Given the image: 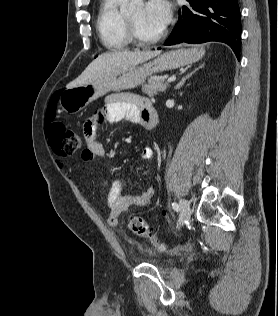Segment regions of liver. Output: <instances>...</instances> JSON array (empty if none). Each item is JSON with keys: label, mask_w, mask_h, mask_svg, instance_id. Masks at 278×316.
<instances>
[{"label": "liver", "mask_w": 278, "mask_h": 316, "mask_svg": "<svg viewBox=\"0 0 278 316\" xmlns=\"http://www.w3.org/2000/svg\"><path fill=\"white\" fill-rule=\"evenodd\" d=\"M160 51H113L103 53L93 60L83 73L67 85V88L86 85L94 80L137 66L157 55Z\"/></svg>", "instance_id": "liver-1"}]
</instances>
